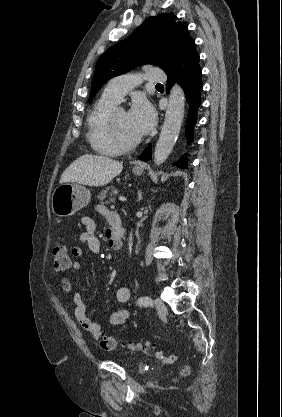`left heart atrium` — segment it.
<instances>
[{"label": "left heart atrium", "instance_id": "obj_1", "mask_svg": "<svg viewBox=\"0 0 282 417\" xmlns=\"http://www.w3.org/2000/svg\"><path fill=\"white\" fill-rule=\"evenodd\" d=\"M128 117L131 127L138 135L150 131L155 122L154 110L146 101L136 102Z\"/></svg>", "mask_w": 282, "mask_h": 417}]
</instances>
